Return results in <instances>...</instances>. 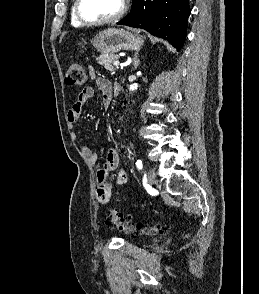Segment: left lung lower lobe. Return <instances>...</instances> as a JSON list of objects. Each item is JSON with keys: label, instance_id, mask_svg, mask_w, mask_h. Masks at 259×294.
I'll return each instance as SVG.
<instances>
[{"label": "left lung lower lobe", "instance_id": "obj_1", "mask_svg": "<svg viewBox=\"0 0 259 294\" xmlns=\"http://www.w3.org/2000/svg\"><path fill=\"white\" fill-rule=\"evenodd\" d=\"M189 15V0H133L131 12L117 24L143 28L180 49Z\"/></svg>", "mask_w": 259, "mask_h": 294}]
</instances>
